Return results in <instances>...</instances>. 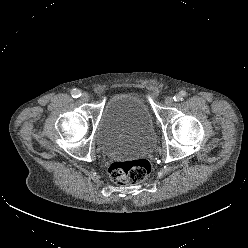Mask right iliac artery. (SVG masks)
Masks as SVG:
<instances>
[{
	"label": "right iliac artery",
	"mask_w": 248,
	"mask_h": 248,
	"mask_svg": "<svg viewBox=\"0 0 248 248\" xmlns=\"http://www.w3.org/2000/svg\"><path fill=\"white\" fill-rule=\"evenodd\" d=\"M71 96H72L73 98H78V97L81 96V91L78 90V89H73V90L71 91Z\"/></svg>",
	"instance_id": "1"
}]
</instances>
